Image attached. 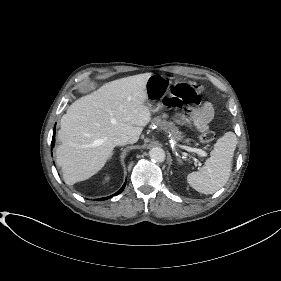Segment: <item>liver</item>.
I'll use <instances>...</instances> for the list:
<instances>
[{
	"label": "liver",
	"instance_id": "liver-1",
	"mask_svg": "<svg viewBox=\"0 0 281 281\" xmlns=\"http://www.w3.org/2000/svg\"><path fill=\"white\" fill-rule=\"evenodd\" d=\"M144 73L108 82L73 102L60 121L56 162L68 185L84 181L112 156L113 139L121 134L136 143L151 113L146 100Z\"/></svg>",
	"mask_w": 281,
	"mask_h": 281
}]
</instances>
